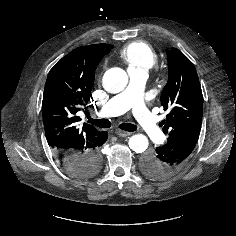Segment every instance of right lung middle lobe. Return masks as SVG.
Segmentation results:
<instances>
[{
	"label": "right lung middle lobe",
	"instance_id": "dd1d6c3e",
	"mask_svg": "<svg viewBox=\"0 0 236 236\" xmlns=\"http://www.w3.org/2000/svg\"><path fill=\"white\" fill-rule=\"evenodd\" d=\"M99 171V166L98 164H93V166L91 167H88V170H87V176H93L95 175L96 173H98Z\"/></svg>",
	"mask_w": 236,
	"mask_h": 236
}]
</instances>
